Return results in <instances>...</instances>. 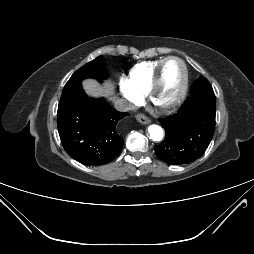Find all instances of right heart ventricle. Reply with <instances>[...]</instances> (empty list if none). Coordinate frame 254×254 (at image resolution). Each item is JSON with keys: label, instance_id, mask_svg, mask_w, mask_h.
<instances>
[{"label": "right heart ventricle", "instance_id": "e07e8e85", "mask_svg": "<svg viewBox=\"0 0 254 254\" xmlns=\"http://www.w3.org/2000/svg\"><path fill=\"white\" fill-rule=\"evenodd\" d=\"M163 59L144 61L131 68L128 80L133 88L141 95L148 92L155 70Z\"/></svg>", "mask_w": 254, "mask_h": 254}]
</instances>
